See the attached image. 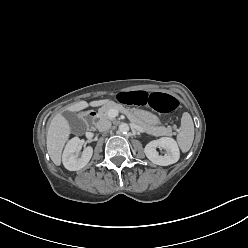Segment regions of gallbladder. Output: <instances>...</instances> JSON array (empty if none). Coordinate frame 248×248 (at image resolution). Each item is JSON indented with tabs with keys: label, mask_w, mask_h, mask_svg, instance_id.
<instances>
[{
	"label": "gallbladder",
	"mask_w": 248,
	"mask_h": 248,
	"mask_svg": "<svg viewBox=\"0 0 248 248\" xmlns=\"http://www.w3.org/2000/svg\"><path fill=\"white\" fill-rule=\"evenodd\" d=\"M65 116L70 121L73 131L78 132L84 129L85 127L84 122L81 119H79L74 113L66 112Z\"/></svg>",
	"instance_id": "1"
}]
</instances>
